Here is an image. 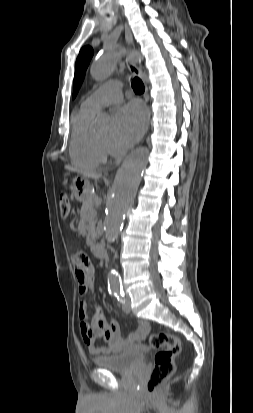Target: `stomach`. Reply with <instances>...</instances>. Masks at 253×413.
Returning <instances> with one entry per match:
<instances>
[{"label":"stomach","instance_id":"0dacf381","mask_svg":"<svg viewBox=\"0 0 253 413\" xmlns=\"http://www.w3.org/2000/svg\"><path fill=\"white\" fill-rule=\"evenodd\" d=\"M72 194L78 201H84L90 195V184L84 177L77 176L73 179Z\"/></svg>","mask_w":253,"mask_h":413}]
</instances>
